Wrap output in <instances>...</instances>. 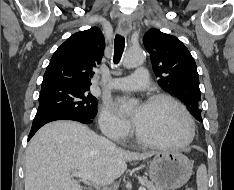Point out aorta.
<instances>
[{"label": "aorta", "instance_id": "1", "mask_svg": "<svg viewBox=\"0 0 234 190\" xmlns=\"http://www.w3.org/2000/svg\"><path fill=\"white\" fill-rule=\"evenodd\" d=\"M145 54L142 49H129L124 57L123 66L127 69L135 68L143 63Z\"/></svg>", "mask_w": 234, "mask_h": 190}]
</instances>
